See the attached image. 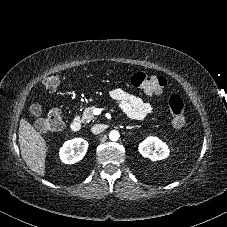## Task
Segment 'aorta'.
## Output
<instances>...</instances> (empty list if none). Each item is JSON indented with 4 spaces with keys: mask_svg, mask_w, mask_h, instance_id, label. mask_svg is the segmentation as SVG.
I'll list each match as a JSON object with an SVG mask.
<instances>
[{
    "mask_svg": "<svg viewBox=\"0 0 227 227\" xmlns=\"http://www.w3.org/2000/svg\"><path fill=\"white\" fill-rule=\"evenodd\" d=\"M120 137V134L118 131L116 130H113L109 133V138L111 141H117Z\"/></svg>",
    "mask_w": 227,
    "mask_h": 227,
    "instance_id": "obj_1",
    "label": "aorta"
}]
</instances>
